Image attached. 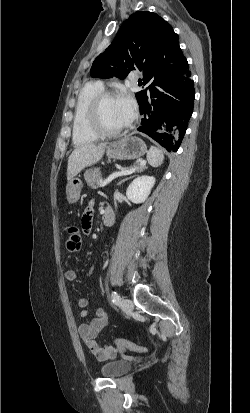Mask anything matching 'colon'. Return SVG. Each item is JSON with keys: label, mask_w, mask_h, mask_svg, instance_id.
<instances>
[{"label": "colon", "mask_w": 250, "mask_h": 413, "mask_svg": "<svg viewBox=\"0 0 250 413\" xmlns=\"http://www.w3.org/2000/svg\"><path fill=\"white\" fill-rule=\"evenodd\" d=\"M82 246V234L80 230L75 227L71 226L67 229L66 232V248L71 252H76L81 249ZM116 346L123 352L125 351H132V352H145L147 348L142 345H138L127 341L125 339H115L114 340Z\"/></svg>", "instance_id": "1"}]
</instances>
